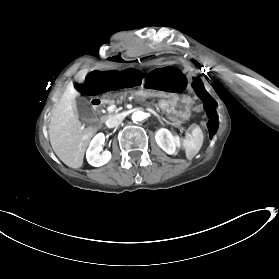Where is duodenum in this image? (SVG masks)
I'll return each mask as SVG.
<instances>
[{"mask_svg":"<svg viewBox=\"0 0 279 279\" xmlns=\"http://www.w3.org/2000/svg\"><path fill=\"white\" fill-rule=\"evenodd\" d=\"M156 91L153 92H142V91H135L136 97H150L155 98ZM88 103L91 106V109L94 112H101L104 109V102L102 98L97 94H92L88 98Z\"/></svg>","mask_w":279,"mask_h":279,"instance_id":"obj_1","label":"duodenum"}]
</instances>
